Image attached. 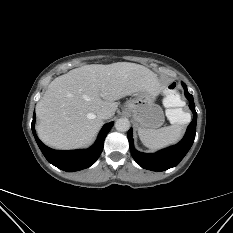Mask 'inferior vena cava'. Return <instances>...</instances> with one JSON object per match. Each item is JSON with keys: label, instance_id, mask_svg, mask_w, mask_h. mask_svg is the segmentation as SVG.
I'll return each instance as SVG.
<instances>
[{"label": "inferior vena cava", "instance_id": "1", "mask_svg": "<svg viewBox=\"0 0 233 233\" xmlns=\"http://www.w3.org/2000/svg\"><path fill=\"white\" fill-rule=\"evenodd\" d=\"M98 116L101 119H109L110 117L113 116V113L109 111L108 109H102L98 112Z\"/></svg>", "mask_w": 233, "mask_h": 233}]
</instances>
